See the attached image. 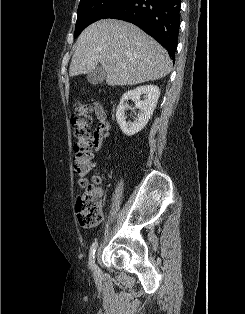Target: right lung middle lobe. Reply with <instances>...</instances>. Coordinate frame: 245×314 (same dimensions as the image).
Returning <instances> with one entry per match:
<instances>
[{"label": "right lung middle lobe", "mask_w": 245, "mask_h": 314, "mask_svg": "<svg viewBox=\"0 0 245 314\" xmlns=\"http://www.w3.org/2000/svg\"><path fill=\"white\" fill-rule=\"evenodd\" d=\"M127 1L128 0H81L78 6L74 38L87 26L102 19L109 12Z\"/></svg>", "instance_id": "1"}]
</instances>
